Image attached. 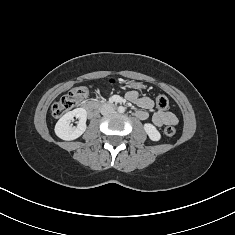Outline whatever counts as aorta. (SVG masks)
Masks as SVG:
<instances>
[{
  "label": "aorta",
  "mask_w": 235,
  "mask_h": 235,
  "mask_svg": "<svg viewBox=\"0 0 235 235\" xmlns=\"http://www.w3.org/2000/svg\"><path fill=\"white\" fill-rule=\"evenodd\" d=\"M125 111V108L123 106L118 107V112L123 113Z\"/></svg>",
  "instance_id": "762f6f07"
}]
</instances>
